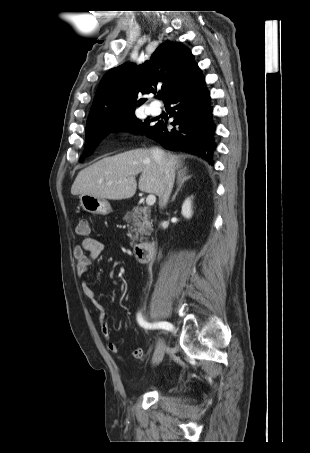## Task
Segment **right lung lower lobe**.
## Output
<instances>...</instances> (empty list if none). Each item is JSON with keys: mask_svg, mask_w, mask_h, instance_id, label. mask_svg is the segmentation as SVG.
<instances>
[{"mask_svg": "<svg viewBox=\"0 0 310 453\" xmlns=\"http://www.w3.org/2000/svg\"><path fill=\"white\" fill-rule=\"evenodd\" d=\"M170 105H173L170 108ZM165 106L174 117L171 131L158 122L145 133L169 150L201 156L213 165L215 125L211 119L210 93L199 68L168 98Z\"/></svg>", "mask_w": 310, "mask_h": 453, "instance_id": "obj_1", "label": "right lung lower lobe"}]
</instances>
